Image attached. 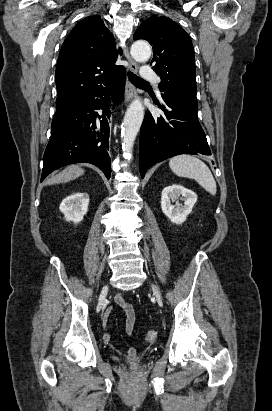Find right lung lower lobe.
<instances>
[{"mask_svg":"<svg viewBox=\"0 0 272 411\" xmlns=\"http://www.w3.org/2000/svg\"><path fill=\"white\" fill-rule=\"evenodd\" d=\"M125 81L123 68L105 86L56 108L52 134L43 157L41 181L55 169L81 162L98 166L110 178V108L115 100L122 101Z\"/></svg>","mask_w":272,"mask_h":411,"instance_id":"98d812e1","label":"right lung lower lobe"}]
</instances>
